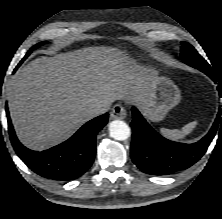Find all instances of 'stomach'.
Wrapping results in <instances>:
<instances>
[{"instance_id":"1","label":"stomach","mask_w":222,"mask_h":219,"mask_svg":"<svg viewBox=\"0 0 222 219\" xmlns=\"http://www.w3.org/2000/svg\"><path fill=\"white\" fill-rule=\"evenodd\" d=\"M181 99L179 88L168 77L155 71L145 99L138 104L143 114L153 122L162 120Z\"/></svg>"}]
</instances>
